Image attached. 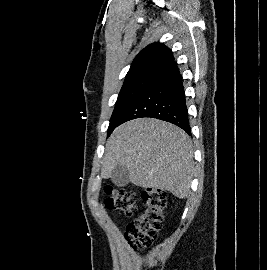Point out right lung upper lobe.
Instances as JSON below:
<instances>
[{
  "label": "right lung upper lobe",
  "mask_w": 267,
  "mask_h": 270,
  "mask_svg": "<svg viewBox=\"0 0 267 270\" xmlns=\"http://www.w3.org/2000/svg\"><path fill=\"white\" fill-rule=\"evenodd\" d=\"M174 61L171 50L162 43H152L133 60L125 81L143 75H156Z\"/></svg>",
  "instance_id": "cb5924a9"
}]
</instances>
